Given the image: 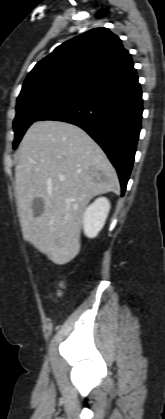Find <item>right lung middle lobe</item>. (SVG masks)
Instances as JSON below:
<instances>
[{
  "mask_svg": "<svg viewBox=\"0 0 165 419\" xmlns=\"http://www.w3.org/2000/svg\"><path fill=\"white\" fill-rule=\"evenodd\" d=\"M88 92L68 87H48L37 89L18 97L16 105V117L13 122L15 149L23 137L27 128L38 121L49 111L58 108L68 102L74 101Z\"/></svg>",
  "mask_w": 165,
  "mask_h": 419,
  "instance_id": "right-lung-middle-lobe-1",
  "label": "right lung middle lobe"
}]
</instances>
